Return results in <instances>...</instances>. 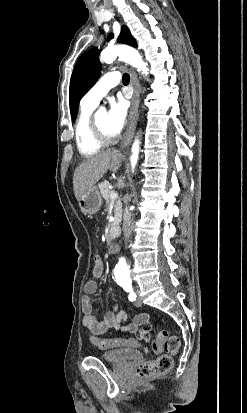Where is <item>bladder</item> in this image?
<instances>
[{
  "instance_id": "31cf9c89",
  "label": "bladder",
  "mask_w": 247,
  "mask_h": 413,
  "mask_svg": "<svg viewBox=\"0 0 247 413\" xmlns=\"http://www.w3.org/2000/svg\"><path fill=\"white\" fill-rule=\"evenodd\" d=\"M142 358V352L133 348L109 349L106 353L100 354V359L106 362H116L125 364L130 360Z\"/></svg>"
}]
</instances>
